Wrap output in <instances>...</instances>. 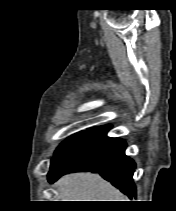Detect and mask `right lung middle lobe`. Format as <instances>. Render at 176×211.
I'll use <instances>...</instances> for the list:
<instances>
[{
	"mask_svg": "<svg viewBox=\"0 0 176 211\" xmlns=\"http://www.w3.org/2000/svg\"><path fill=\"white\" fill-rule=\"evenodd\" d=\"M87 133L88 131L79 132L77 134L70 136L64 142H62L60 146L57 148V150L55 151L51 164L57 161L66 150H68L72 145H74L81 138H83Z\"/></svg>",
	"mask_w": 176,
	"mask_h": 211,
	"instance_id": "1",
	"label": "right lung middle lobe"
}]
</instances>
